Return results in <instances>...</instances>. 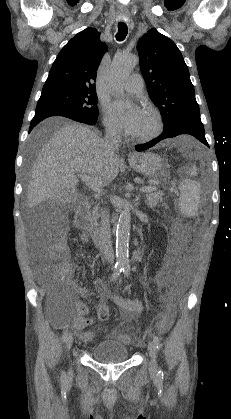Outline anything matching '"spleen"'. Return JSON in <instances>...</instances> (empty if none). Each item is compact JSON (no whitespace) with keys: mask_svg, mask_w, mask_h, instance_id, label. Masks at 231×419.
<instances>
[{"mask_svg":"<svg viewBox=\"0 0 231 419\" xmlns=\"http://www.w3.org/2000/svg\"><path fill=\"white\" fill-rule=\"evenodd\" d=\"M190 176H196L197 170L192 166L188 171ZM180 210L185 216H194L198 210L200 198V184L196 181L185 179L179 185Z\"/></svg>","mask_w":231,"mask_h":419,"instance_id":"3e777b00","label":"spleen"}]
</instances>
